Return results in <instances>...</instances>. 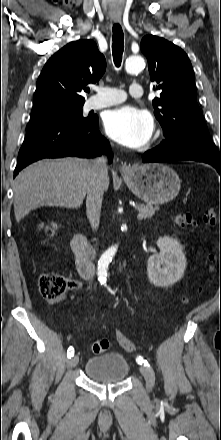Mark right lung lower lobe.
Instances as JSON below:
<instances>
[{"label":"right lung lower lobe","mask_w":221,"mask_h":440,"mask_svg":"<svg viewBox=\"0 0 221 440\" xmlns=\"http://www.w3.org/2000/svg\"><path fill=\"white\" fill-rule=\"evenodd\" d=\"M103 152L112 157L108 140L99 132L98 117L84 123L59 118L31 121L26 126L14 177L27 165L43 158H90Z\"/></svg>","instance_id":"right-lung-lower-lobe-1"}]
</instances>
